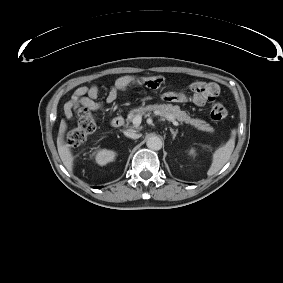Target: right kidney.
I'll return each instance as SVG.
<instances>
[{
    "instance_id": "obj_1",
    "label": "right kidney",
    "mask_w": 283,
    "mask_h": 283,
    "mask_svg": "<svg viewBox=\"0 0 283 283\" xmlns=\"http://www.w3.org/2000/svg\"><path fill=\"white\" fill-rule=\"evenodd\" d=\"M114 157H115V152L103 149L97 152L96 162L99 165H105L108 162L113 161Z\"/></svg>"
}]
</instances>
